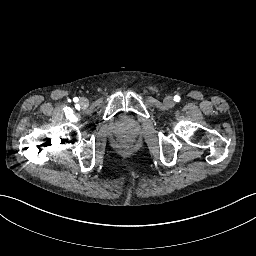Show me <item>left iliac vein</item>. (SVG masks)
<instances>
[{
    "mask_svg": "<svg viewBox=\"0 0 256 256\" xmlns=\"http://www.w3.org/2000/svg\"><path fill=\"white\" fill-rule=\"evenodd\" d=\"M164 103H165L166 106H168V107H173L174 104H175V102H174V100H173V98H172L171 96L165 97Z\"/></svg>",
    "mask_w": 256,
    "mask_h": 256,
    "instance_id": "4c4485c4",
    "label": "left iliac vein"
}]
</instances>
